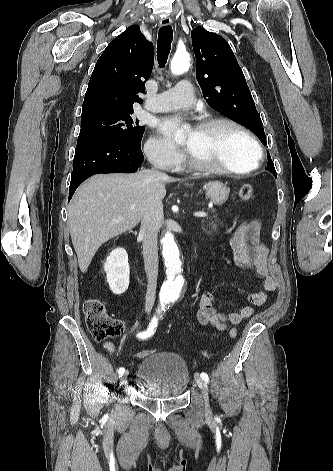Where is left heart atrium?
<instances>
[{"instance_id":"39dd6f15","label":"left heart atrium","mask_w":333,"mask_h":471,"mask_svg":"<svg viewBox=\"0 0 333 471\" xmlns=\"http://www.w3.org/2000/svg\"><path fill=\"white\" fill-rule=\"evenodd\" d=\"M178 126H179V120L175 118H171V119L163 120L160 123L159 127H160L161 132L165 135V137L168 140L173 141L176 131L178 129Z\"/></svg>"}]
</instances>
